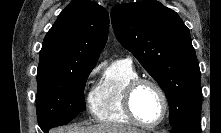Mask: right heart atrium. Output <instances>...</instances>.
Returning <instances> with one entry per match:
<instances>
[{
  "label": "right heart atrium",
  "instance_id": "right-heart-atrium-1",
  "mask_svg": "<svg viewBox=\"0 0 221 133\" xmlns=\"http://www.w3.org/2000/svg\"><path fill=\"white\" fill-rule=\"evenodd\" d=\"M98 70V67H95L89 74V77H92Z\"/></svg>",
  "mask_w": 221,
  "mask_h": 133
}]
</instances>
